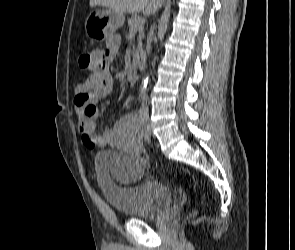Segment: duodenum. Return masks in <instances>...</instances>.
<instances>
[{
  "mask_svg": "<svg viewBox=\"0 0 295 250\" xmlns=\"http://www.w3.org/2000/svg\"><path fill=\"white\" fill-rule=\"evenodd\" d=\"M136 63L139 70L143 71L146 68V55L143 52H139L136 55Z\"/></svg>",
  "mask_w": 295,
  "mask_h": 250,
  "instance_id": "410a0bca",
  "label": "duodenum"
}]
</instances>
